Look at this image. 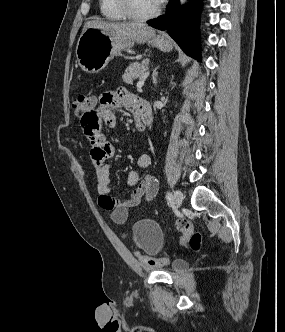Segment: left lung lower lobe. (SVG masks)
<instances>
[{
  "mask_svg": "<svg viewBox=\"0 0 285 332\" xmlns=\"http://www.w3.org/2000/svg\"><path fill=\"white\" fill-rule=\"evenodd\" d=\"M166 14L160 18L149 20L148 24L159 30H167L169 35L178 43L182 50L200 60L198 13L199 0L192 1V9L188 13L178 0H171Z\"/></svg>",
  "mask_w": 285,
  "mask_h": 332,
  "instance_id": "left-lung-lower-lobe-1",
  "label": "left lung lower lobe"
}]
</instances>
